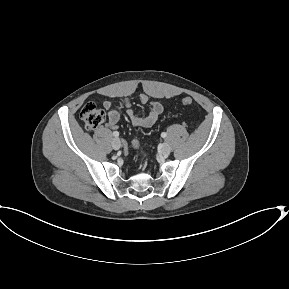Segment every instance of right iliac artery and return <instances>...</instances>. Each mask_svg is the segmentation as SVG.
<instances>
[{
	"label": "right iliac artery",
	"instance_id": "obj_1",
	"mask_svg": "<svg viewBox=\"0 0 289 289\" xmlns=\"http://www.w3.org/2000/svg\"><path fill=\"white\" fill-rule=\"evenodd\" d=\"M113 135H114L115 137H118V136H119V132L114 131V132H113Z\"/></svg>",
	"mask_w": 289,
	"mask_h": 289
}]
</instances>
